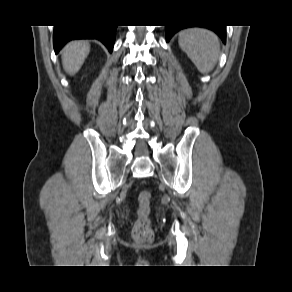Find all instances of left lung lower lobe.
I'll use <instances>...</instances> for the list:
<instances>
[{
  "label": "left lung lower lobe",
  "mask_w": 292,
  "mask_h": 292,
  "mask_svg": "<svg viewBox=\"0 0 292 292\" xmlns=\"http://www.w3.org/2000/svg\"><path fill=\"white\" fill-rule=\"evenodd\" d=\"M192 27L188 25H168L166 26V41L168 42L170 38L178 32L180 29ZM199 27H206L213 30L218 36L222 39V41L226 42V27L225 26H199Z\"/></svg>",
  "instance_id": "1"
}]
</instances>
